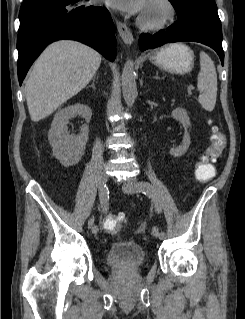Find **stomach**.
I'll use <instances>...</instances> for the list:
<instances>
[{
    "mask_svg": "<svg viewBox=\"0 0 245 319\" xmlns=\"http://www.w3.org/2000/svg\"><path fill=\"white\" fill-rule=\"evenodd\" d=\"M149 59L158 67L175 74H185L193 68V51L183 43H173L156 50Z\"/></svg>",
    "mask_w": 245,
    "mask_h": 319,
    "instance_id": "1",
    "label": "stomach"
}]
</instances>
